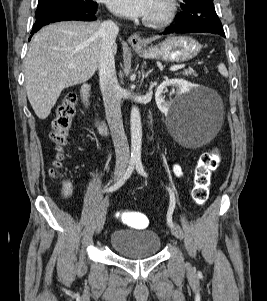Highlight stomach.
<instances>
[{
    "label": "stomach",
    "mask_w": 267,
    "mask_h": 301,
    "mask_svg": "<svg viewBox=\"0 0 267 301\" xmlns=\"http://www.w3.org/2000/svg\"><path fill=\"white\" fill-rule=\"evenodd\" d=\"M133 48L145 58L185 62L198 55L201 51V44L188 36H172L156 46H133Z\"/></svg>",
    "instance_id": "stomach-1"
}]
</instances>
